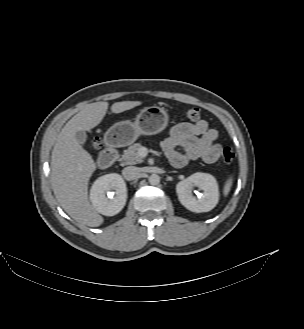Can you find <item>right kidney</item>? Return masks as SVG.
<instances>
[{
	"instance_id": "1",
	"label": "right kidney",
	"mask_w": 304,
	"mask_h": 329,
	"mask_svg": "<svg viewBox=\"0 0 304 329\" xmlns=\"http://www.w3.org/2000/svg\"><path fill=\"white\" fill-rule=\"evenodd\" d=\"M90 200L97 212L105 216L118 214L127 200V188L123 178L116 173L99 177L91 187Z\"/></svg>"
}]
</instances>
